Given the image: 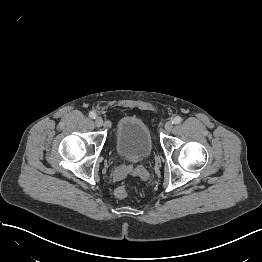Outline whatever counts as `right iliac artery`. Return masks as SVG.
Instances as JSON below:
<instances>
[{
  "mask_svg": "<svg viewBox=\"0 0 262 262\" xmlns=\"http://www.w3.org/2000/svg\"><path fill=\"white\" fill-rule=\"evenodd\" d=\"M89 116H90L91 118L95 119L97 115H96L95 112L91 111V112L89 113Z\"/></svg>",
  "mask_w": 262,
  "mask_h": 262,
  "instance_id": "82829eb1",
  "label": "right iliac artery"
}]
</instances>
